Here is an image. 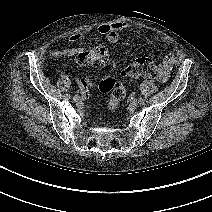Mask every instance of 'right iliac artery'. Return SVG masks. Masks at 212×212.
<instances>
[{
	"label": "right iliac artery",
	"instance_id": "obj_1",
	"mask_svg": "<svg viewBox=\"0 0 212 212\" xmlns=\"http://www.w3.org/2000/svg\"><path fill=\"white\" fill-rule=\"evenodd\" d=\"M70 98H71L70 94H65V99H70Z\"/></svg>",
	"mask_w": 212,
	"mask_h": 212
}]
</instances>
